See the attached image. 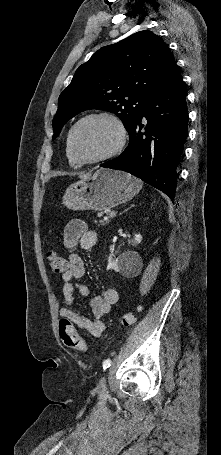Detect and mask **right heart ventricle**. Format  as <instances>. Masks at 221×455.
<instances>
[{
  "label": "right heart ventricle",
  "mask_w": 221,
  "mask_h": 455,
  "mask_svg": "<svg viewBox=\"0 0 221 455\" xmlns=\"http://www.w3.org/2000/svg\"><path fill=\"white\" fill-rule=\"evenodd\" d=\"M66 154H67L68 161H69V163H70L72 166L77 167V166L80 165V162L77 161V160L73 157V155H72V153H71V151H70V148H69V135H68L67 143H66Z\"/></svg>",
  "instance_id": "e07e8e85"
}]
</instances>
